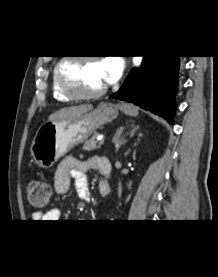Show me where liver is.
I'll return each mask as SVG.
<instances>
[{
	"mask_svg": "<svg viewBox=\"0 0 218 277\" xmlns=\"http://www.w3.org/2000/svg\"><path fill=\"white\" fill-rule=\"evenodd\" d=\"M93 106L91 104H84L79 106L65 107L49 116V121L73 118L81 114L87 113L92 110Z\"/></svg>",
	"mask_w": 218,
	"mask_h": 277,
	"instance_id": "obj_1",
	"label": "liver"
}]
</instances>
